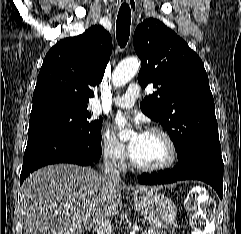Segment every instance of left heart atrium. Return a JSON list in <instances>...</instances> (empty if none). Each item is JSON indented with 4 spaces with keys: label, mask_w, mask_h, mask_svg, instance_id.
Instances as JSON below:
<instances>
[{
    "label": "left heart atrium",
    "mask_w": 241,
    "mask_h": 234,
    "mask_svg": "<svg viewBox=\"0 0 241 234\" xmlns=\"http://www.w3.org/2000/svg\"><path fill=\"white\" fill-rule=\"evenodd\" d=\"M129 124H133L136 127V130L134 133L136 138H140L145 134L146 131L142 128L141 120L139 118H130V117L121 116V115L115 118V125L119 129L124 128Z\"/></svg>",
    "instance_id": "left-heart-atrium-1"
}]
</instances>
